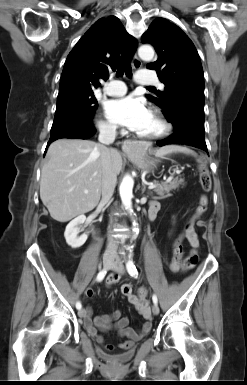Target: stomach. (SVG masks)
<instances>
[{
	"label": "stomach",
	"instance_id": "stomach-1",
	"mask_svg": "<svg viewBox=\"0 0 247 385\" xmlns=\"http://www.w3.org/2000/svg\"><path fill=\"white\" fill-rule=\"evenodd\" d=\"M129 159L143 171L152 170L155 166V161L148 157L145 150L131 152L129 154Z\"/></svg>",
	"mask_w": 247,
	"mask_h": 385
}]
</instances>
